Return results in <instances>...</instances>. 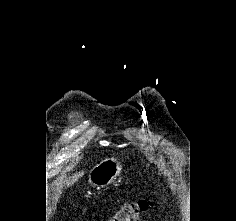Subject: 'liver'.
<instances>
[{"instance_id": "liver-1", "label": "liver", "mask_w": 236, "mask_h": 221, "mask_svg": "<svg viewBox=\"0 0 236 221\" xmlns=\"http://www.w3.org/2000/svg\"><path fill=\"white\" fill-rule=\"evenodd\" d=\"M84 174V171H81L79 173L74 174L73 176H71L69 178V180H67V185L72 184L73 182H75L76 180H78L79 177H81Z\"/></svg>"}]
</instances>
